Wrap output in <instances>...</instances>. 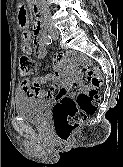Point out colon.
Returning <instances> with one entry per match:
<instances>
[{"mask_svg":"<svg viewBox=\"0 0 123 167\" xmlns=\"http://www.w3.org/2000/svg\"><path fill=\"white\" fill-rule=\"evenodd\" d=\"M82 75L89 83L91 89L80 91L75 97L62 96L59 98L53 111L54 129L58 139L66 141L87 119L94 114L100 102L98 89L103 84V76L98 66L93 63H85ZM35 71V62L27 55L19 59V73L23 77L30 76Z\"/></svg>","mask_w":123,"mask_h":167,"instance_id":"1","label":"colon"}]
</instances>
